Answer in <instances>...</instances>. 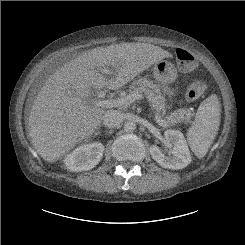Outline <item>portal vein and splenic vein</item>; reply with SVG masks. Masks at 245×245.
<instances>
[{"mask_svg": "<svg viewBox=\"0 0 245 245\" xmlns=\"http://www.w3.org/2000/svg\"><path fill=\"white\" fill-rule=\"evenodd\" d=\"M102 73H110L109 69H102ZM105 96V93L103 91L98 93V97L103 98ZM144 99L142 94L139 93H133L129 94L122 98L117 99H110V100H96L94 101L95 106L102 107V108H112V107H127L131 103L135 102L136 100H142ZM154 118L156 122L163 127H167V123L157 114H154Z\"/></svg>", "mask_w": 245, "mask_h": 245, "instance_id": "portal-vein-and-splenic-vein-1", "label": "portal vein and splenic vein"}]
</instances>
